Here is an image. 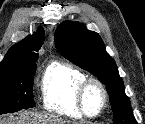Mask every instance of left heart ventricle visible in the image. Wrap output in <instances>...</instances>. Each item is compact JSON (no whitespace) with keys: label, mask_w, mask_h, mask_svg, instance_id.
<instances>
[{"label":"left heart ventricle","mask_w":145,"mask_h":124,"mask_svg":"<svg viewBox=\"0 0 145 124\" xmlns=\"http://www.w3.org/2000/svg\"><path fill=\"white\" fill-rule=\"evenodd\" d=\"M102 103V94L96 87H91L86 95V108L89 113H96Z\"/></svg>","instance_id":"1"}]
</instances>
